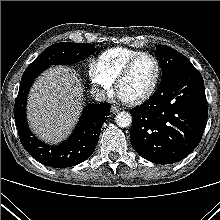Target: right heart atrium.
<instances>
[{
  "label": "right heart atrium",
  "instance_id": "d8ad5b80",
  "mask_svg": "<svg viewBox=\"0 0 220 220\" xmlns=\"http://www.w3.org/2000/svg\"><path fill=\"white\" fill-rule=\"evenodd\" d=\"M93 87L102 95L109 94L113 87V81L109 79L101 69L98 61H92L88 70Z\"/></svg>",
  "mask_w": 220,
  "mask_h": 220
}]
</instances>
